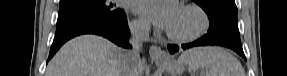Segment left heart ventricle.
<instances>
[{"label": "left heart ventricle", "mask_w": 287, "mask_h": 76, "mask_svg": "<svg viewBox=\"0 0 287 76\" xmlns=\"http://www.w3.org/2000/svg\"><path fill=\"white\" fill-rule=\"evenodd\" d=\"M199 24L200 18L195 12L179 9L168 31L176 35H185L193 32Z\"/></svg>", "instance_id": "1"}]
</instances>
